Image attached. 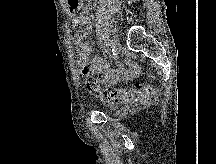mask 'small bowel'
Returning <instances> with one entry per match:
<instances>
[{
	"mask_svg": "<svg viewBox=\"0 0 216 164\" xmlns=\"http://www.w3.org/2000/svg\"><path fill=\"white\" fill-rule=\"evenodd\" d=\"M73 28L81 26L82 30L73 34V42L78 47L76 56V63L82 68L86 69L91 75H96L99 80L105 84H114L119 75L125 78H131L136 73V67L129 69L118 68L111 70L109 64L99 56L92 57V47L85 41V37L92 30V18L89 13V8H84L83 11L74 16L72 19Z\"/></svg>",
	"mask_w": 216,
	"mask_h": 164,
	"instance_id": "obj_1",
	"label": "small bowel"
}]
</instances>
